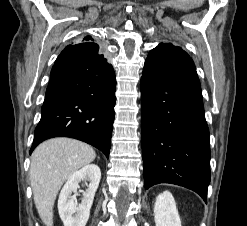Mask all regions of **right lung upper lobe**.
Listing matches in <instances>:
<instances>
[{"label":"right lung upper lobe","mask_w":247,"mask_h":226,"mask_svg":"<svg viewBox=\"0 0 247 226\" xmlns=\"http://www.w3.org/2000/svg\"><path fill=\"white\" fill-rule=\"evenodd\" d=\"M84 40H85L86 42H92V41H94V39H93L91 36H86V37L84 38Z\"/></svg>","instance_id":"obj_1"}]
</instances>
